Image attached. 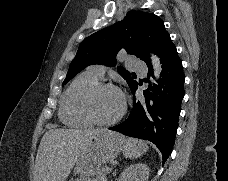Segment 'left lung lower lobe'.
<instances>
[{"label": "left lung lower lobe", "instance_id": "0a47b994", "mask_svg": "<svg viewBox=\"0 0 228 181\" xmlns=\"http://www.w3.org/2000/svg\"><path fill=\"white\" fill-rule=\"evenodd\" d=\"M155 53L162 63L158 85L151 87L149 78L154 75L151 60L148 59L145 61L148 77L144 81L149 83V87L143 91L144 98L135 97L138 85L142 83L137 82L131 86L134 104L130 115L125 121L109 129L153 142L161 151L165 163L174 145L181 101L184 97L185 77L182 62L170 37L160 44Z\"/></svg>", "mask_w": 228, "mask_h": 181}]
</instances>
